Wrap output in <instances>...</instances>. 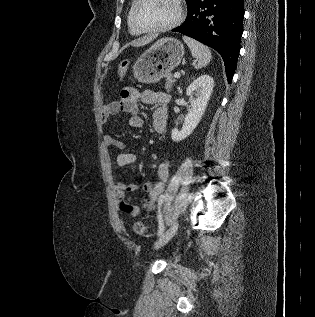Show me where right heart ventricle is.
Returning a JSON list of instances; mask_svg holds the SVG:
<instances>
[{
    "label": "right heart ventricle",
    "mask_w": 315,
    "mask_h": 317,
    "mask_svg": "<svg viewBox=\"0 0 315 317\" xmlns=\"http://www.w3.org/2000/svg\"><path fill=\"white\" fill-rule=\"evenodd\" d=\"M127 23H128V28H129V31H130L131 34H133V35L140 34V32H138L131 24V10L129 11V14H128V17H127Z\"/></svg>",
    "instance_id": "e07e8e85"
}]
</instances>
